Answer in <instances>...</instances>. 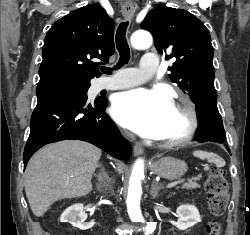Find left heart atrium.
I'll return each instance as SVG.
<instances>
[{
  "label": "left heart atrium",
  "mask_w": 250,
  "mask_h": 235,
  "mask_svg": "<svg viewBox=\"0 0 250 235\" xmlns=\"http://www.w3.org/2000/svg\"><path fill=\"white\" fill-rule=\"evenodd\" d=\"M173 110L170 96L160 89L122 92L112 105V115L121 126L150 138L161 136Z\"/></svg>",
  "instance_id": "left-heart-atrium-1"
}]
</instances>
